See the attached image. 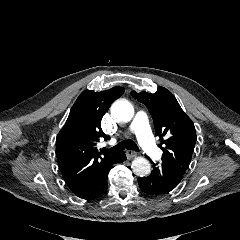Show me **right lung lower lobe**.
I'll use <instances>...</instances> for the list:
<instances>
[{
    "label": "right lung lower lobe",
    "instance_id": "98d812e1",
    "mask_svg": "<svg viewBox=\"0 0 240 240\" xmlns=\"http://www.w3.org/2000/svg\"><path fill=\"white\" fill-rule=\"evenodd\" d=\"M126 160L124 152L116 153L102 168L98 171L80 190L73 192L76 196L86 199L94 200L106 193L107 190V176L109 168L112 164L123 162Z\"/></svg>",
    "mask_w": 240,
    "mask_h": 240
}]
</instances>
